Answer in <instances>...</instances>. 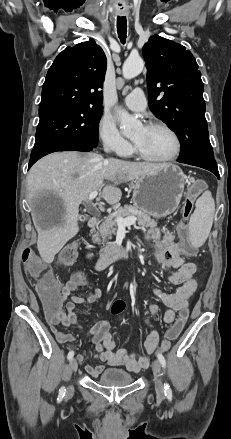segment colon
<instances>
[{
  "label": "colon",
  "mask_w": 231,
  "mask_h": 439,
  "mask_svg": "<svg viewBox=\"0 0 231 439\" xmlns=\"http://www.w3.org/2000/svg\"><path fill=\"white\" fill-rule=\"evenodd\" d=\"M203 188V183L197 181L193 192L189 198L183 204L182 207V222L178 227V233L181 240L183 250L178 251V258L183 262L188 259H196V249L190 242L189 234L185 225V222L189 218L193 210V197L200 192ZM78 242L72 241L71 244L65 246L58 256V262L63 266H71L78 256ZM23 262L25 268L30 274L35 276V291L37 292V298L40 299V305L45 307V317L48 320H57L59 313L56 311L61 300L60 283L55 279L51 272L43 270L42 261L38 258L31 246L25 247L23 253ZM77 275V274H76ZM125 308L123 301H116L112 306V312L116 316H120ZM177 319L166 331L165 338L168 341L176 339L183 329L184 323L187 322L190 311L186 306H179L177 308Z\"/></svg>",
  "instance_id": "colon-1"
}]
</instances>
